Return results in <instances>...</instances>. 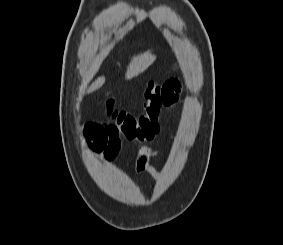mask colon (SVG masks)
<instances>
[{
    "mask_svg": "<svg viewBox=\"0 0 283 245\" xmlns=\"http://www.w3.org/2000/svg\"><path fill=\"white\" fill-rule=\"evenodd\" d=\"M162 107V83L150 81L144 91L143 111L140 115L114 108V101L109 99L107 116L127 141L148 143L154 141L160 132L158 120Z\"/></svg>",
    "mask_w": 283,
    "mask_h": 245,
    "instance_id": "1",
    "label": "colon"
}]
</instances>
